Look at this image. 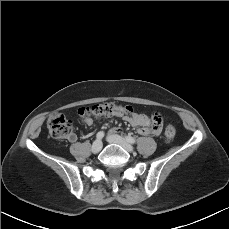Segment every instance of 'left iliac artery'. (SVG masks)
<instances>
[{
  "mask_svg": "<svg viewBox=\"0 0 229 229\" xmlns=\"http://www.w3.org/2000/svg\"><path fill=\"white\" fill-rule=\"evenodd\" d=\"M125 139L131 144H135L136 143V139L131 137V136H129V135L125 136Z\"/></svg>",
  "mask_w": 229,
  "mask_h": 229,
  "instance_id": "left-iliac-artery-1",
  "label": "left iliac artery"
}]
</instances>
